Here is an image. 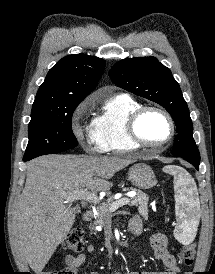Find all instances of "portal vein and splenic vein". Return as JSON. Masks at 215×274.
I'll return each mask as SVG.
<instances>
[{
	"instance_id": "18ae733b",
	"label": "portal vein and splenic vein",
	"mask_w": 215,
	"mask_h": 274,
	"mask_svg": "<svg viewBox=\"0 0 215 274\" xmlns=\"http://www.w3.org/2000/svg\"><path fill=\"white\" fill-rule=\"evenodd\" d=\"M67 201L73 200H83L90 203H99L98 197L87 191L86 189H78L72 192H69L65 195ZM130 200L128 198H121L118 201L113 202L108 208V212L112 213L116 211L119 207L129 204Z\"/></svg>"
}]
</instances>
